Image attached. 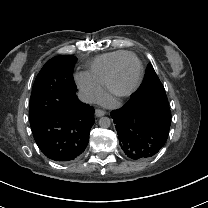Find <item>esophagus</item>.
Segmentation results:
<instances>
[{
  "mask_svg": "<svg viewBox=\"0 0 208 208\" xmlns=\"http://www.w3.org/2000/svg\"><path fill=\"white\" fill-rule=\"evenodd\" d=\"M105 114H106V112L103 111V110H101V109H96V110H95V116H96V117H102V116H104Z\"/></svg>",
  "mask_w": 208,
  "mask_h": 208,
  "instance_id": "esophagus-1",
  "label": "esophagus"
}]
</instances>
